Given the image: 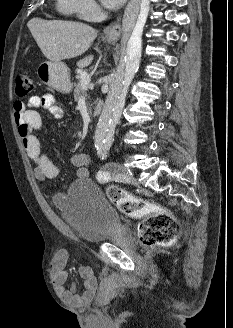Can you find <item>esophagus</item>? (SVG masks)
<instances>
[{"label":"esophagus","mask_w":233,"mask_h":328,"mask_svg":"<svg viewBox=\"0 0 233 328\" xmlns=\"http://www.w3.org/2000/svg\"><path fill=\"white\" fill-rule=\"evenodd\" d=\"M103 34L107 40H118L121 34V18L118 17L115 21L107 25L104 28Z\"/></svg>","instance_id":"34e87169"}]
</instances>
